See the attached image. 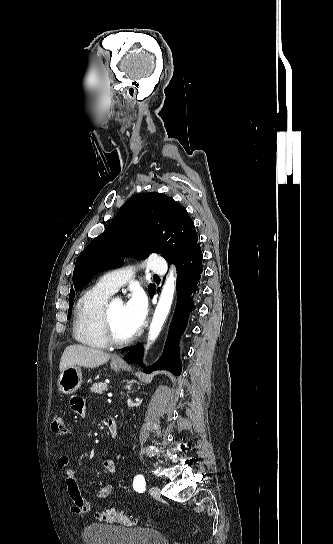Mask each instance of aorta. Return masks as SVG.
Listing matches in <instances>:
<instances>
[{
    "mask_svg": "<svg viewBox=\"0 0 333 544\" xmlns=\"http://www.w3.org/2000/svg\"><path fill=\"white\" fill-rule=\"evenodd\" d=\"M175 281L174 270H171L169 275L166 278L165 284L163 286L160 299L158 301L151 325L149 330V340L154 341L167 318V315L170 311L174 290H175Z\"/></svg>",
    "mask_w": 333,
    "mask_h": 544,
    "instance_id": "obj_1",
    "label": "aorta"
}]
</instances>
